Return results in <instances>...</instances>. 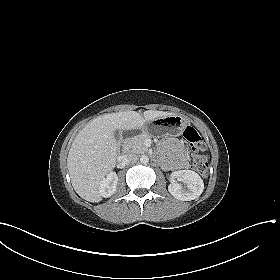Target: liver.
<instances>
[{"label":"liver","mask_w":280,"mask_h":280,"mask_svg":"<svg viewBox=\"0 0 280 280\" xmlns=\"http://www.w3.org/2000/svg\"><path fill=\"white\" fill-rule=\"evenodd\" d=\"M174 115L147 110L104 114L89 122L76 136L68 153L67 167L76 193L89 202H100V181L115 168L118 144L116 130H134L146 122Z\"/></svg>","instance_id":"liver-1"}]
</instances>
